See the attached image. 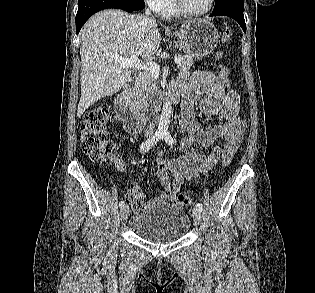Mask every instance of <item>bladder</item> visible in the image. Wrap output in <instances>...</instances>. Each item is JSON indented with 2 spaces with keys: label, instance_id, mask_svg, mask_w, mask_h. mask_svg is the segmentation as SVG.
I'll list each match as a JSON object with an SVG mask.
<instances>
[{
  "label": "bladder",
  "instance_id": "bladder-1",
  "mask_svg": "<svg viewBox=\"0 0 315 293\" xmlns=\"http://www.w3.org/2000/svg\"><path fill=\"white\" fill-rule=\"evenodd\" d=\"M129 227L144 240L165 244L182 239L191 227V219L177 205L158 204L135 214Z\"/></svg>",
  "mask_w": 315,
  "mask_h": 293
}]
</instances>
